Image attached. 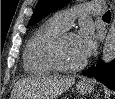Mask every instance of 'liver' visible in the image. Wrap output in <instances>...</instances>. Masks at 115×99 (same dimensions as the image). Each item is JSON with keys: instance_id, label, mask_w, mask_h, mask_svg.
Here are the masks:
<instances>
[{"instance_id": "1", "label": "liver", "mask_w": 115, "mask_h": 99, "mask_svg": "<svg viewBox=\"0 0 115 99\" xmlns=\"http://www.w3.org/2000/svg\"><path fill=\"white\" fill-rule=\"evenodd\" d=\"M75 83L74 76H42L17 82V99H55Z\"/></svg>"}]
</instances>
